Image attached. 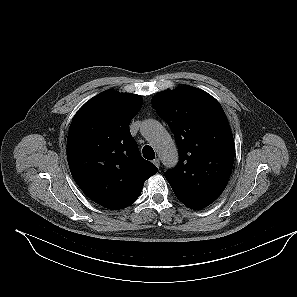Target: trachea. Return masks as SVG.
<instances>
[{
    "label": "trachea",
    "instance_id": "3493384b",
    "mask_svg": "<svg viewBox=\"0 0 297 297\" xmlns=\"http://www.w3.org/2000/svg\"><path fill=\"white\" fill-rule=\"evenodd\" d=\"M142 152H143L144 158L148 160H152L155 158V152L153 148L149 145L144 146Z\"/></svg>",
    "mask_w": 297,
    "mask_h": 297
}]
</instances>
